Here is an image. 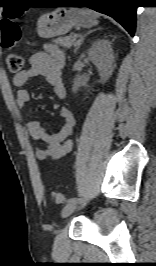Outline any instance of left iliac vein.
I'll return each instance as SVG.
<instances>
[{"label": "left iliac vein", "instance_id": "left-iliac-vein-1", "mask_svg": "<svg viewBox=\"0 0 156 266\" xmlns=\"http://www.w3.org/2000/svg\"><path fill=\"white\" fill-rule=\"evenodd\" d=\"M77 208V203H68L63 209H62V217H68L71 215Z\"/></svg>", "mask_w": 156, "mask_h": 266}]
</instances>
